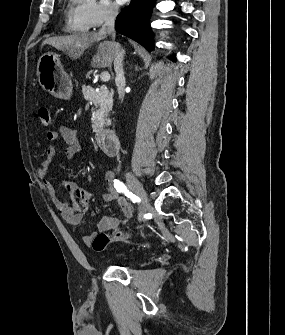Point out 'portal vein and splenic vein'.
I'll use <instances>...</instances> for the list:
<instances>
[{
    "mask_svg": "<svg viewBox=\"0 0 285 335\" xmlns=\"http://www.w3.org/2000/svg\"><path fill=\"white\" fill-rule=\"evenodd\" d=\"M100 78H101L102 82H109L110 74H101Z\"/></svg>",
    "mask_w": 285,
    "mask_h": 335,
    "instance_id": "portal-vein-and-splenic-vein-1",
    "label": "portal vein and splenic vein"
}]
</instances>
